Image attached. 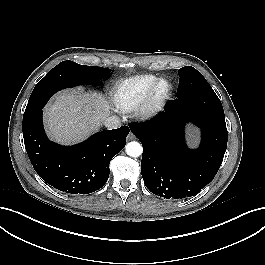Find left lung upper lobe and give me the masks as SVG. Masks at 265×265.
I'll return each mask as SVG.
<instances>
[{"label": "left lung upper lobe", "instance_id": "5c2ea615", "mask_svg": "<svg viewBox=\"0 0 265 265\" xmlns=\"http://www.w3.org/2000/svg\"><path fill=\"white\" fill-rule=\"evenodd\" d=\"M179 86L175 104L179 109L212 113L225 117L222 104L206 79L191 66L178 71Z\"/></svg>", "mask_w": 265, "mask_h": 265}]
</instances>
